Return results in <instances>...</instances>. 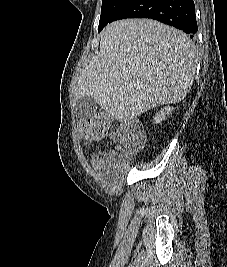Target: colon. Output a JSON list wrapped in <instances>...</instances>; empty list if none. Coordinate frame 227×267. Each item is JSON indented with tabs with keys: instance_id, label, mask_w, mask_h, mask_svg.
<instances>
[{
	"instance_id": "obj_1",
	"label": "colon",
	"mask_w": 227,
	"mask_h": 267,
	"mask_svg": "<svg viewBox=\"0 0 227 267\" xmlns=\"http://www.w3.org/2000/svg\"><path fill=\"white\" fill-rule=\"evenodd\" d=\"M111 122L109 114L98 112L80 120L79 132L85 139L98 141L108 134ZM118 137L131 152L140 151L146 139L143 129L133 122L124 123L119 129Z\"/></svg>"
}]
</instances>
